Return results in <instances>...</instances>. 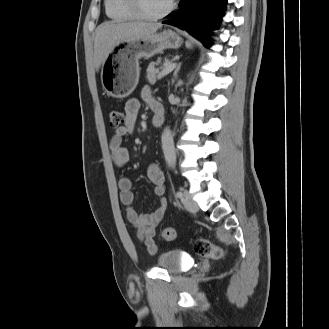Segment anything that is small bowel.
I'll return each mask as SVG.
<instances>
[{"label":"small bowel","instance_id":"c3829d8e","mask_svg":"<svg viewBox=\"0 0 329 329\" xmlns=\"http://www.w3.org/2000/svg\"><path fill=\"white\" fill-rule=\"evenodd\" d=\"M142 95L152 109L153 105L160 106V103L151 96L148 90H144ZM139 111L140 102L135 98L129 99L124 107L125 123L123 126L116 128L111 137L109 146L112 152V161L116 168H123L129 161V152L122 143L125 136L133 133ZM146 174L153 184L154 194L160 197L158 207L151 213L139 214L132 206L134 193L131 179L127 177L121 178L118 182V187L120 201L126 206V218L137 229L139 241L146 247L150 254H154L158 249V245L154 239L155 230L166 209V202L163 198L165 194V178L162 169L157 163L149 165Z\"/></svg>","mask_w":329,"mask_h":329}]
</instances>
